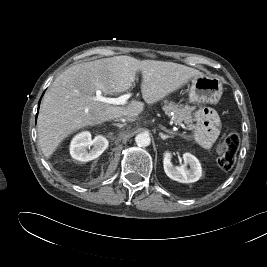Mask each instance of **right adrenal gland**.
<instances>
[{
    "mask_svg": "<svg viewBox=\"0 0 267 267\" xmlns=\"http://www.w3.org/2000/svg\"><path fill=\"white\" fill-rule=\"evenodd\" d=\"M112 125L122 128L125 124L113 123Z\"/></svg>",
    "mask_w": 267,
    "mask_h": 267,
    "instance_id": "obj_1",
    "label": "right adrenal gland"
}]
</instances>
